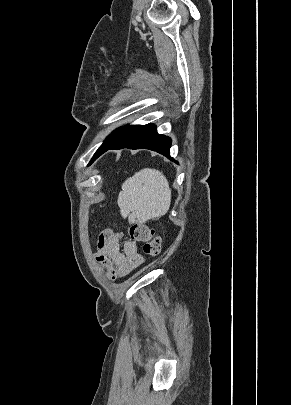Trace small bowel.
Here are the masks:
<instances>
[{"label": "small bowel", "instance_id": "1", "mask_svg": "<svg viewBox=\"0 0 291 405\" xmlns=\"http://www.w3.org/2000/svg\"><path fill=\"white\" fill-rule=\"evenodd\" d=\"M95 259L106 269L110 280L126 276L144 261L136 243L122 242V233L110 229L100 234Z\"/></svg>", "mask_w": 291, "mask_h": 405}]
</instances>
